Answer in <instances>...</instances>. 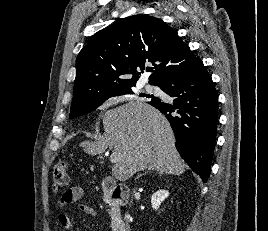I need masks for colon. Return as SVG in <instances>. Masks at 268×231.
<instances>
[{
  "label": "colon",
  "mask_w": 268,
  "mask_h": 231,
  "mask_svg": "<svg viewBox=\"0 0 268 231\" xmlns=\"http://www.w3.org/2000/svg\"><path fill=\"white\" fill-rule=\"evenodd\" d=\"M52 184L54 189L63 190L69 184V169L66 161H60L55 164L52 171Z\"/></svg>",
  "instance_id": "colon-1"
}]
</instances>
